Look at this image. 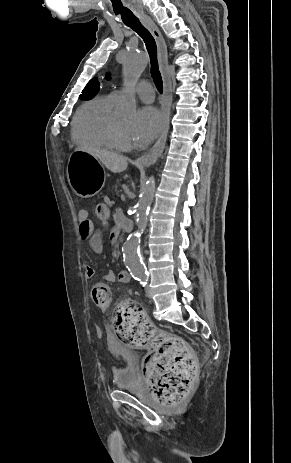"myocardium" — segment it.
<instances>
[{
    "label": "myocardium",
    "instance_id": "obj_1",
    "mask_svg": "<svg viewBox=\"0 0 291 463\" xmlns=\"http://www.w3.org/2000/svg\"><path fill=\"white\" fill-rule=\"evenodd\" d=\"M110 137L115 148L128 151L132 148L129 136L121 130L117 121H113L110 127Z\"/></svg>",
    "mask_w": 291,
    "mask_h": 463
}]
</instances>
